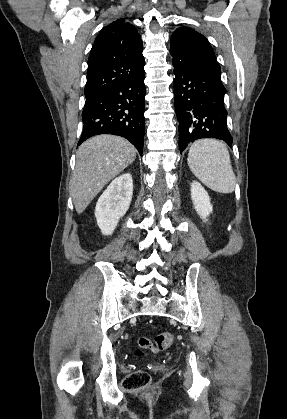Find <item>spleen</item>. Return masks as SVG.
I'll list each match as a JSON object with an SVG mask.
<instances>
[{
  "label": "spleen",
  "instance_id": "obj_1",
  "mask_svg": "<svg viewBox=\"0 0 287 419\" xmlns=\"http://www.w3.org/2000/svg\"><path fill=\"white\" fill-rule=\"evenodd\" d=\"M187 161L191 172L208 188L222 194L234 191L236 178L224 143L197 140L190 147Z\"/></svg>",
  "mask_w": 287,
  "mask_h": 419
}]
</instances>
